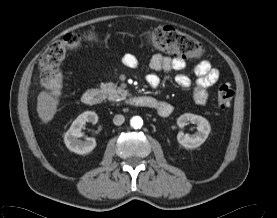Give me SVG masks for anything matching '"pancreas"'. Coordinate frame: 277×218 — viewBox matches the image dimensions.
<instances>
[{
    "instance_id": "1",
    "label": "pancreas",
    "mask_w": 277,
    "mask_h": 218,
    "mask_svg": "<svg viewBox=\"0 0 277 218\" xmlns=\"http://www.w3.org/2000/svg\"><path fill=\"white\" fill-rule=\"evenodd\" d=\"M100 90L105 95V97L111 101L123 100L129 96L128 90H125L122 87H117V85L112 82L101 83Z\"/></svg>"
}]
</instances>
